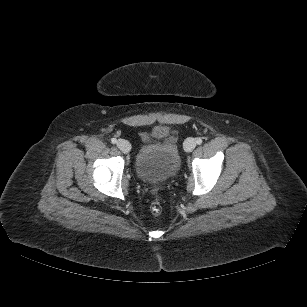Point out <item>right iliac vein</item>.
Here are the masks:
<instances>
[{
  "mask_svg": "<svg viewBox=\"0 0 307 307\" xmlns=\"http://www.w3.org/2000/svg\"><path fill=\"white\" fill-rule=\"evenodd\" d=\"M117 147L125 154L129 153V151L131 150V145L128 141L120 139L117 142Z\"/></svg>",
  "mask_w": 307,
  "mask_h": 307,
  "instance_id": "1",
  "label": "right iliac vein"
}]
</instances>
